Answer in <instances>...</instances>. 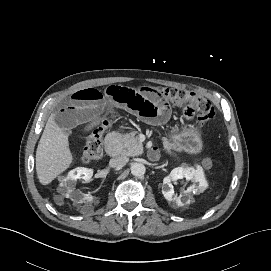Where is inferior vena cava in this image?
Segmentation results:
<instances>
[{
	"mask_svg": "<svg viewBox=\"0 0 271 271\" xmlns=\"http://www.w3.org/2000/svg\"><path fill=\"white\" fill-rule=\"evenodd\" d=\"M129 159L127 157L112 158L109 162L111 167H119L125 165Z\"/></svg>",
	"mask_w": 271,
	"mask_h": 271,
	"instance_id": "inferior-vena-cava-1",
	"label": "inferior vena cava"
}]
</instances>
